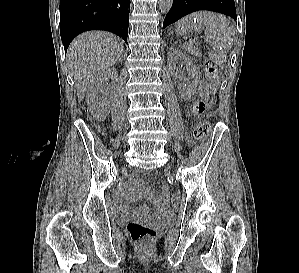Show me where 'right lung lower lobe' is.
<instances>
[{
    "label": "right lung lower lobe",
    "instance_id": "obj_1",
    "mask_svg": "<svg viewBox=\"0 0 299 273\" xmlns=\"http://www.w3.org/2000/svg\"><path fill=\"white\" fill-rule=\"evenodd\" d=\"M130 0H60V35L70 42L89 30L110 31L127 42Z\"/></svg>",
    "mask_w": 299,
    "mask_h": 273
}]
</instances>
